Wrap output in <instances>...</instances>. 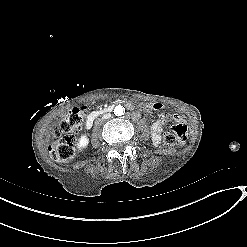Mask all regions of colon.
<instances>
[{"instance_id":"colon-1","label":"colon","mask_w":247,"mask_h":247,"mask_svg":"<svg viewBox=\"0 0 247 247\" xmlns=\"http://www.w3.org/2000/svg\"><path fill=\"white\" fill-rule=\"evenodd\" d=\"M149 106V103H146ZM155 111L163 110L162 102L154 103ZM85 119V111L82 108H76L71 113L62 118L55 131V137L58 139L50 141L48 150L57 162H65L73 158L75 153L74 131L80 127ZM188 130L184 123L173 125L164 135V144L167 147H174L176 144H182L187 140Z\"/></svg>"}]
</instances>
